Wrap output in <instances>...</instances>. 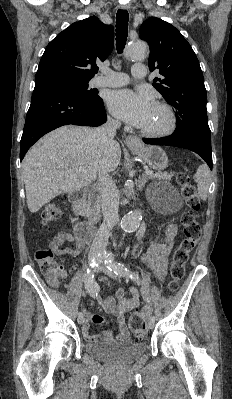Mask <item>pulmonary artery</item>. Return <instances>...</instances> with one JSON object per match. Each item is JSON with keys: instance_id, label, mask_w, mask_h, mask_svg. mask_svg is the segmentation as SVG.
I'll return each instance as SVG.
<instances>
[{"instance_id": "obj_1", "label": "pulmonary artery", "mask_w": 232, "mask_h": 399, "mask_svg": "<svg viewBox=\"0 0 232 399\" xmlns=\"http://www.w3.org/2000/svg\"><path fill=\"white\" fill-rule=\"evenodd\" d=\"M133 68V80H143L145 74L143 63H134ZM130 83L131 78L126 77L125 73H117L111 69H101L91 82L93 87H103L104 90H115L118 84ZM122 88H125V85H122Z\"/></svg>"}]
</instances>
